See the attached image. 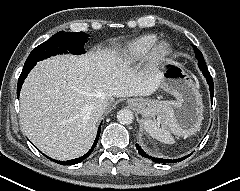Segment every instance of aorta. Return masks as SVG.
Segmentation results:
<instances>
[{
  "label": "aorta",
  "instance_id": "aorta-1",
  "mask_svg": "<svg viewBox=\"0 0 240 191\" xmlns=\"http://www.w3.org/2000/svg\"><path fill=\"white\" fill-rule=\"evenodd\" d=\"M117 120L123 125H129L134 120L133 112L129 109H121L117 112Z\"/></svg>",
  "mask_w": 240,
  "mask_h": 191
}]
</instances>
